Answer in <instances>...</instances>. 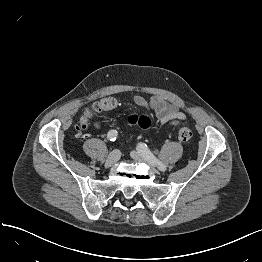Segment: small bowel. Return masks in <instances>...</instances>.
Listing matches in <instances>:
<instances>
[{
	"label": "small bowel",
	"instance_id": "1",
	"mask_svg": "<svg viewBox=\"0 0 262 262\" xmlns=\"http://www.w3.org/2000/svg\"><path fill=\"white\" fill-rule=\"evenodd\" d=\"M120 102L121 100L118 99L105 98L94 103L92 106L86 107L82 114L85 127L88 122L93 120L96 113L109 111ZM133 102L138 106L152 111L162 125H178L186 119L185 114L176 103H170L158 96H154L149 100L136 96Z\"/></svg>",
	"mask_w": 262,
	"mask_h": 262
}]
</instances>
